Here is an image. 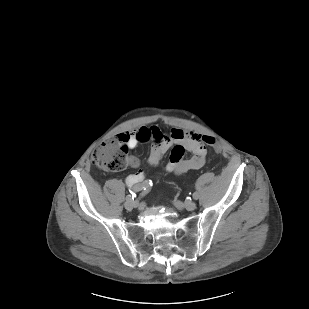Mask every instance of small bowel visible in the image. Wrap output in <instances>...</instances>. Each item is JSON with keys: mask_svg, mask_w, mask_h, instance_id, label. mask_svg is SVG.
<instances>
[{"mask_svg": "<svg viewBox=\"0 0 309 309\" xmlns=\"http://www.w3.org/2000/svg\"><path fill=\"white\" fill-rule=\"evenodd\" d=\"M119 136L127 141L130 148H135L140 142L152 140L154 146L148 158L152 165H157L163 155L171 149L166 170L174 175H182L190 170L199 169L206 160V146L201 135L195 132H186L178 127L171 128L167 134L156 125L141 126L134 132L121 133ZM186 152L190 154L189 157L184 156ZM128 164L136 168L139 161L131 155L128 158ZM143 177V172L138 170L126 178V184L132 187L142 181Z\"/></svg>", "mask_w": 309, "mask_h": 309, "instance_id": "1", "label": "small bowel"}]
</instances>
